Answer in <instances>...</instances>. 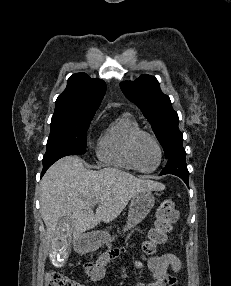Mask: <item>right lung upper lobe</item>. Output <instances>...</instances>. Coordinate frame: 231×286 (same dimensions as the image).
<instances>
[{
  "mask_svg": "<svg viewBox=\"0 0 231 286\" xmlns=\"http://www.w3.org/2000/svg\"><path fill=\"white\" fill-rule=\"evenodd\" d=\"M106 91L100 79H91L85 73H77L68 79L67 88L56 100L55 112H94L98 109Z\"/></svg>",
  "mask_w": 231,
  "mask_h": 286,
  "instance_id": "obj_1",
  "label": "right lung upper lobe"
}]
</instances>
